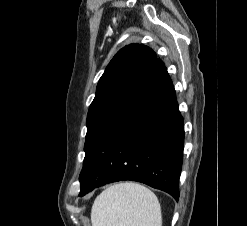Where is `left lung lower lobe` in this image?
Wrapping results in <instances>:
<instances>
[{"instance_id":"obj_1","label":"left lung lower lobe","mask_w":247,"mask_h":226,"mask_svg":"<svg viewBox=\"0 0 247 226\" xmlns=\"http://www.w3.org/2000/svg\"><path fill=\"white\" fill-rule=\"evenodd\" d=\"M184 123L164 63L156 59L84 159L80 194L133 180L179 198Z\"/></svg>"}]
</instances>
